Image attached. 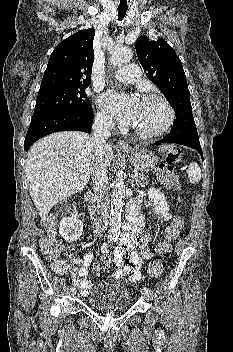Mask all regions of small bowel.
Listing matches in <instances>:
<instances>
[{"label":"small bowel","instance_id":"obj_1","mask_svg":"<svg viewBox=\"0 0 233 352\" xmlns=\"http://www.w3.org/2000/svg\"><path fill=\"white\" fill-rule=\"evenodd\" d=\"M149 198L155 208L157 215L164 221H168L171 216L169 213L168 199L158 189L152 188L149 191ZM152 235L145 230L144 218L135 210L134 214L127 217L124 226V233L120 239V245L113 251L114 263L117 270L113 273L114 279L123 277L129 278L133 283L141 279V267L145 260L152 257L149 243ZM103 251L107 252V245L104 244ZM93 260L91 252L86 253L81 259L71 258V262L79 265L74 268L66 263L67 273L72 278L73 284L79 288L81 295L87 296L92 288V283L86 279Z\"/></svg>","mask_w":233,"mask_h":352}]
</instances>
